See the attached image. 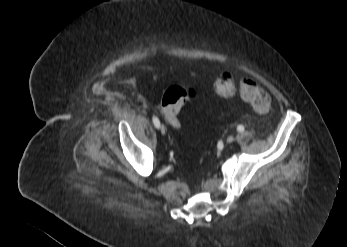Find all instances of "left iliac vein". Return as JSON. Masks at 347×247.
Returning <instances> with one entry per match:
<instances>
[{
    "mask_svg": "<svg viewBox=\"0 0 347 247\" xmlns=\"http://www.w3.org/2000/svg\"><path fill=\"white\" fill-rule=\"evenodd\" d=\"M234 140L235 139L233 136H228L226 141H227V143H232Z\"/></svg>",
    "mask_w": 347,
    "mask_h": 247,
    "instance_id": "4c4485c4",
    "label": "left iliac vein"
}]
</instances>
